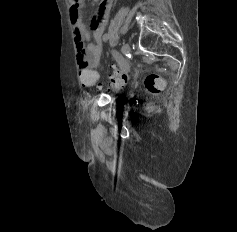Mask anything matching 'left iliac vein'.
I'll return each instance as SVG.
<instances>
[{
	"label": "left iliac vein",
	"instance_id": "1",
	"mask_svg": "<svg viewBox=\"0 0 237 232\" xmlns=\"http://www.w3.org/2000/svg\"><path fill=\"white\" fill-rule=\"evenodd\" d=\"M130 50H131V48H130V45L128 43L123 44L122 47H121V53L123 55H127L128 53H130Z\"/></svg>",
	"mask_w": 237,
	"mask_h": 232
}]
</instances>
